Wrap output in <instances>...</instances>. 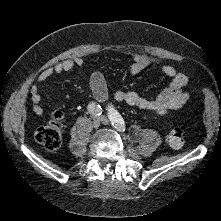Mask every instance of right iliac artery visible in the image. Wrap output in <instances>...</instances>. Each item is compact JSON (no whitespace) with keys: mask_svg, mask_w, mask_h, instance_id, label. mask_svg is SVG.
<instances>
[{"mask_svg":"<svg viewBox=\"0 0 221 221\" xmlns=\"http://www.w3.org/2000/svg\"><path fill=\"white\" fill-rule=\"evenodd\" d=\"M88 111L90 114L94 115V116H99L102 113V108L100 105H97L95 102H91L88 107H87Z\"/></svg>","mask_w":221,"mask_h":221,"instance_id":"right-iliac-artery-1","label":"right iliac artery"}]
</instances>
